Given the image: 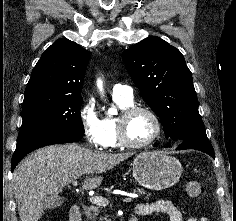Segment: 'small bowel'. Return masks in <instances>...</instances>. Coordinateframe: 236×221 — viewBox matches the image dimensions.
Returning a JSON list of instances; mask_svg holds the SVG:
<instances>
[{"instance_id":"obj_1","label":"small bowel","mask_w":236,"mask_h":221,"mask_svg":"<svg viewBox=\"0 0 236 221\" xmlns=\"http://www.w3.org/2000/svg\"><path fill=\"white\" fill-rule=\"evenodd\" d=\"M154 214L167 215L170 221H208L205 217H191L184 220L181 211L169 200L139 203L135 206V215L137 217L150 216Z\"/></svg>"}]
</instances>
